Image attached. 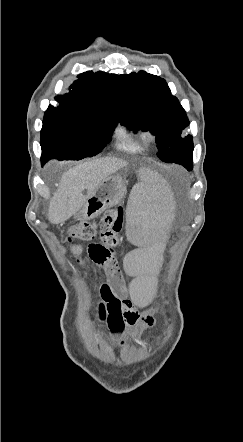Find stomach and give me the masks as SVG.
Instances as JSON below:
<instances>
[{
    "mask_svg": "<svg viewBox=\"0 0 243 442\" xmlns=\"http://www.w3.org/2000/svg\"><path fill=\"white\" fill-rule=\"evenodd\" d=\"M126 185L124 180L116 175H110L96 188L92 196L85 202L77 213V218L90 220L99 216L125 196Z\"/></svg>",
    "mask_w": 243,
    "mask_h": 442,
    "instance_id": "obj_1",
    "label": "stomach"
}]
</instances>
